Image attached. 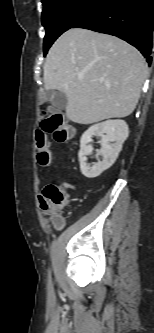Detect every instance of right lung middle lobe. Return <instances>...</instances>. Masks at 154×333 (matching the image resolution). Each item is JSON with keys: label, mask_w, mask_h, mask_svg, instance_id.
<instances>
[{"label": "right lung middle lobe", "mask_w": 154, "mask_h": 333, "mask_svg": "<svg viewBox=\"0 0 154 333\" xmlns=\"http://www.w3.org/2000/svg\"><path fill=\"white\" fill-rule=\"evenodd\" d=\"M99 0H42V25L46 30L44 55L53 42L72 28Z\"/></svg>", "instance_id": "obj_1"}]
</instances>
